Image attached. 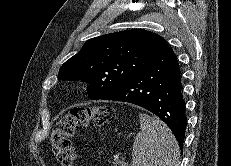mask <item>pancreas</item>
<instances>
[{"label":"pancreas","instance_id":"pancreas-1","mask_svg":"<svg viewBox=\"0 0 231 166\" xmlns=\"http://www.w3.org/2000/svg\"><path fill=\"white\" fill-rule=\"evenodd\" d=\"M113 164H114V166H117V165H118V161L115 160V161L113 162Z\"/></svg>","mask_w":231,"mask_h":166}]
</instances>
